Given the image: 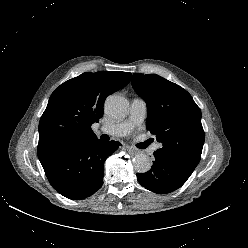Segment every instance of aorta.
Returning a JSON list of instances; mask_svg holds the SVG:
<instances>
[{"label": "aorta", "instance_id": "obj_1", "mask_svg": "<svg viewBox=\"0 0 248 248\" xmlns=\"http://www.w3.org/2000/svg\"><path fill=\"white\" fill-rule=\"evenodd\" d=\"M105 110L113 118H124L129 112V102L123 96L111 95L105 101ZM151 166V159L146 154H137L133 159V167L138 173L148 172Z\"/></svg>", "mask_w": 248, "mask_h": 248}]
</instances>
